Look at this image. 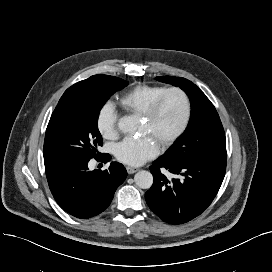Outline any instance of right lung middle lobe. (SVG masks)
Returning a JSON list of instances; mask_svg holds the SVG:
<instances>
[{"mask_svg":"<svg viewBox=\"0 0 272 272\" xmlns=\"http://www.w3.org/2000/svg\"><path fill=\"white\" fill-rule=\"evenodd\" d=\"M128 84L108 75H98L80 94L58 103L47 126L44 159L98 157L102 146L98 130L99 112L108 98Z\"/></svg>","mask_w":272,"mask_h":272,"instance_id":"right-lung-middle-lobe-1","label":"right lung middle lobe"}]
</instances>
